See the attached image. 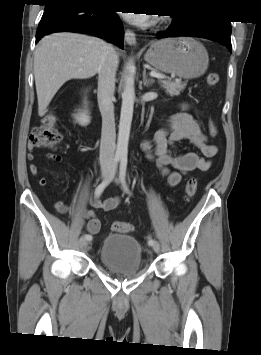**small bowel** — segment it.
I'll return each mask as SVG.
<instances>
[{
  "mask_svg": "<svg viewBox=\"0 0 261 355\" xmlns=\"http://www.w3.org/2000/svg\"><path fill=\"white\" fill-rule=\"evenodd\" d=\"M192 107L189 104L182 105V111L170 118L167 124L157 130L152 138L144 139L142 149L147 158L156 163L160 174L164 177L169 186H177L182 182V177L192 171H206L212 166V159L217 155L218 148L210 144L193 114L189 112ZM188 141L195 146L199 152L186 151L177 153V143ZM32 144H29L27 157L33 160L35 154L32 151ZM58 160V158H56ZM30 173L36 176L39 172L35 164L29 167ZM45 178L40 180L41 185H46ZM121 202L119 197H111L105 200L89 197V203L94 208L104 211L115 210ZM58 206L64 212L76 216V211L67 208L62 204ZM84 216L88 219L87 230L96 234L101 228V222L95 212L87 209Z\"/></svg>",
  "mask_w": 261,
  "mask_h": 355,
  "instance_id": "obj_1",
  "label": "small bowel"
}]
</instances>
